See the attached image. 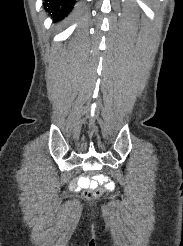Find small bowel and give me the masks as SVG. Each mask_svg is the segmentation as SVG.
Returning <instances> with one entry per match:
<instances>
[{
  "mask_svg": "<svg viewBox=\"0 0 183 246\" xmlns=\"http://www.w3.org/2000/svg\"><path fill=\"white\" fill-rule=\"evenodd\" d=\"M93 181L87 179V174H78V179L76 180V190H80L84 187H93L95 182H106L105 184V194H112L116 190L115 181H111V177H107L106 174H93Z\"/></svg>",
  "mask_w": 183,
  "mask_h": 246,
  "instance_id": "c3829d8e",
  "label": "small bowel"
}]
</instances>
